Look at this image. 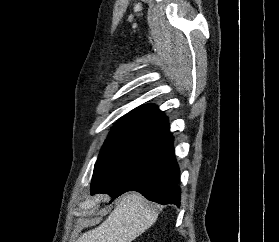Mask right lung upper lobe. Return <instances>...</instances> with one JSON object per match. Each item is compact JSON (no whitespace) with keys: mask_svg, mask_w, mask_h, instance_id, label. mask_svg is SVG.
<instances>
[{"mask_svg":"<svg viewBox=\"0 0 279 242\" xmlns=\"http://www.w3.org/2000/svg\"><path fill=\"white\" fill-rule=\"evenodd\" d=\"M131 114H144L153 117L163 118V113L158 109L156 105L148 104L138 107L132 111Z\"/></svg>","mask_w":279,"mask_h":242,"instance_id":"obj_1","label":"right lung upper lobe"}]
</instances>
